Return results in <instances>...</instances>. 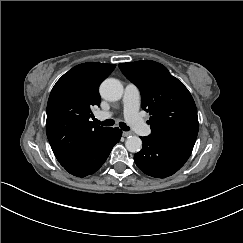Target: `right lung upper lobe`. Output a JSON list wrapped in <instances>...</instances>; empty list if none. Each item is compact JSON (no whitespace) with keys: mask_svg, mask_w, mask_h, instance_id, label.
<instances>
[{"mask_svg":"<svg viewBox=\"0 0 243 243\" xmlns=\"http://www.w3.org/2000/svg\"><path fill=\"white\" fill-rule=\"evenodd\" d=\"M114 64L83 63L65 73L54 85L47 104L46 132L62 166L83 154L108 128L94 125L91 108L100 104L99 85Z\"/></svg>","mask_w":243,"mask_h":243,"instance_id":"1","label":"right lung upper lobe"}]
</instances>
